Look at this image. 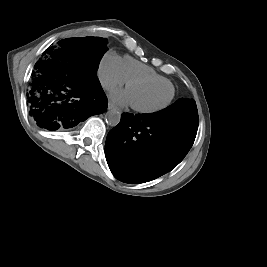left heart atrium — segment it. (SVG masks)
<instances>
[{"instance_id":"obj_1","label":"left heart atrium","mask_w":267,"mask_h":267,"mask_svg":"<svg viewBox=\"0 0 267 267\" xmlns=\"http://www.w3.org/2000/svg\"><path fill=\"white\" fill-rule=\"evenodd\" d=\"M110 98L117 105H127L131 103L128 90H114L110 93Z\"/></svg>"}]
</instances>
